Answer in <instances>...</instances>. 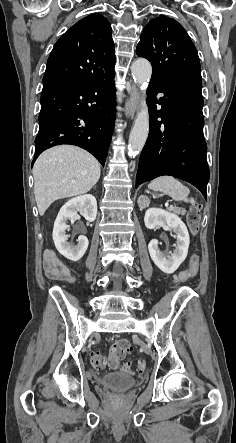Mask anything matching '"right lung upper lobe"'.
<instances>
[{
    "label": "right lung upper lobe",
    "instance_id": "right-lung-upper-lobe-1",
    "mask_svg": "<svg viewBox=\"0 0 236 443\" xmlns=\"http://www.w3.org/2000/svg\"><path fill=\"white\" fill-rule=\"evenodd\" d=\"M111 25L100 14L89 15L68 29L54 45L43 84L93 80L114 72Z\"/></svg>",
    "mask_w": 236,
    "mask_h": 443
}]
</instances>
